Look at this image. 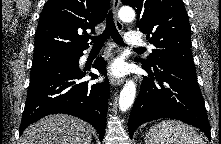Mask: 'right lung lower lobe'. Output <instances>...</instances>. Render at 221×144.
<instances>
[{"instance_id": "obj_1", "label": "right lung lower lobe", "mask_w": 221, "mask_h": 144, "mask_svg": "<svg viewBox=\"0 0 221 144\" xmlns=\"http://www.w3.org/2000/svg\"><path fill=\"white\" fill-rule=\"evenodd\" d=\"M82 55L83 51L78 53L73 61L31 78L19 129L20 135L30 124L42 117L64 113L93 125L102 142L110 86L107 78L97 84L81 80L86 75L85 70L79 68L78 62ZM93 67L106 74V62L102 57L95 60ZM89 75L97 77L94 73Z\"/></svg>"}]
</instances>
